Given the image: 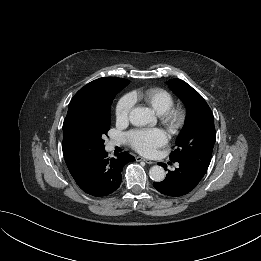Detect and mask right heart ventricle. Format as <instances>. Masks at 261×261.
<instances>
[{"label":"right heart ventricle","instance_id":"obj_1","mask_svg":"<svg viewBox=\"0 0 261 261\" xmlns=\"http://www.w3.org/2000/svg\"><path fill=\"white\" fill-rule=\"evenodd\" d=\"M133 102L142 101L149 105L158 115L173 105L172 95L161 88H149L144 91H134L129 95Z\"/></svg>","mask_w":261,"mask_h":261}]
</instances>
